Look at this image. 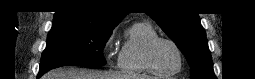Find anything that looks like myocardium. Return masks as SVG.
Instances as JSON below:
<instances>
[{
  "instance_id": "1",
  "label": "myocardium",
  "mask_w": 255,
  "mask_h": 79,
  "mask_svg": "<svg viewBox=\"0 0 255 79\" xmlns=\"http://www.w3.org/2000/svg\"><path fill=\"white\" fill-rule=\"evenodd\" d=\"M160 42H166V43L171 44L179 56L178 67L173 71H163V70L159 69L153 62V57H152L153 49ZM144 61H145L146 66L148 67V69L154 74L174 75L182 70L183 65H184V56H183V52H182L181 48L174 40L166 38V37H162V36H156L155 38L150 40L145 47Z\"/></svg>"
}]
</instances>
